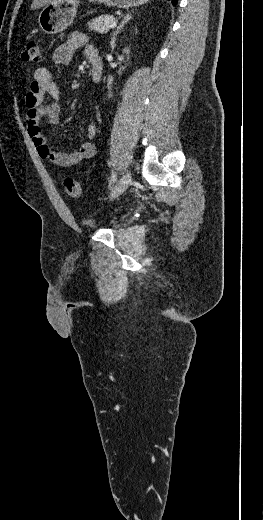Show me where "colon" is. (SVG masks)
<instances>
[{"instance_id":"colon-1","label":"colon","mask_w":263,"mask_h":520,"mask_svg":"<svg viewBox=\"0 0 263 520\" xmlns=\"http://www.w3.org/2000/svg\"><path fill=\"white\" fill-rule=\"evenodd\" d=\"M24 61L38 62L40 59L39 45L35 40H30L26 43L25 49L22 54ZM64 188L66 194L71 198H78L81 195V186L77 179L74 177H66L64 179Z\"/></svg>"}]
</instances>
